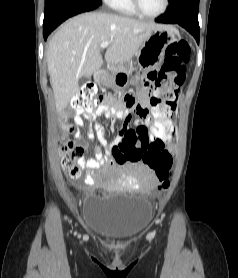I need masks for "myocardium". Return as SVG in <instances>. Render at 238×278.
<instances>
[{"label": "myocardium", "mask_w": 238, "mask_h": 278, "mask_svg": "<svg viewBox=\"0 0 238 278\" xmlns=\"http://www.w3.org/2000/svg\"><path fill=\"white\" fill-rule=\"evenodd\" d=\"M131 3H132L134 10L136 11V13L147 19H157V18L163 16L167 12L168 7H169V0H164V5H163L162 10L157 14L151 15V14L146 13L142 9L139 0H131Z\"/></svg>", "instance_id": "1"}]
</instances>
